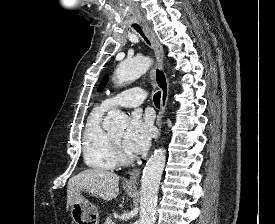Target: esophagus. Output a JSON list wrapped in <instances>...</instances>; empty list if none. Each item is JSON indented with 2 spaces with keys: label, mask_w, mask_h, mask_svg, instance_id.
Listing matches in <instances>:
<instances>
[{
  "label": "esophagus",
  "mask_w": 275,
  "mask_h": 224,
  "mask_svg": "<svg viewBox=\"0 0 275 224\" xmlns=\"http://www.w3.org/2000/svg\"><path fill=\"white\" fill-rule=\"evenodd\" d=\"M142 27H143L145 36L147 37V39L149 40V42L151 43L154 49L156 59H157V63L154 69V75H155L156 84L161 91V99H160L161 107H160V111L158 113L157 121H156L158 126V137H157L158 139L161 132L162 118L164 116V112L168 101L169 84H168L167 76L162 66L163 47L159 42L155 33L151 31V29L148 27L146 23L143 22ZM140 173H141L140 169H135L131 171L128 177L125 179V186L128 188H136L137 179L139 178Z\"/></svg>",
  "instance_id": "34e87169"
}]
</instances>
